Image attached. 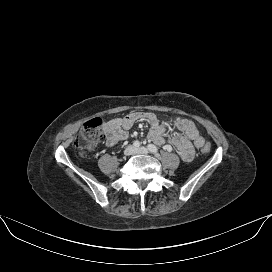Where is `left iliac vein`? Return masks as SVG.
Returning <instances> with one entry per match:
<instances>
[{"label":"left iliac vein","instance_id":"obj_1","mask_svg":"<svg viewBox=\"0 0 272 272\" xmlns=\"http://www.w3.org/2000/svg\"><path fill=\"white\" fill-rule=\"evenodd\" d=\"M149 150L146 147H140L135 149V154H144L147 155Z\"/></svg>","mask_w":272,"mask_h":272}]
</instances>
